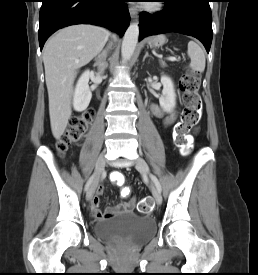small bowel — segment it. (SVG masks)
I'll return each mask as SVG.
<instances>
[{
    "label": "small bowel",
    "instance_id": "obj_1",
    "mask_svg": "<svg viewBox=\"0 0 258 275\" xmlns=\"http://www.w3.org/2000/svg\"><path fill=\"white\" fill-rule=\"evenodd\" d=\"M152 112H153L154 116L162 119L164 127L170 126L176 119L175 114L165 115L164 112L156 105H154L152 107ZM103 191H104L103 185L96 184L94 193L90 199L91 200L90 209H91V212L94 217H96V218H101V217L110 218L113 215H115L116 213H119V212L126 213V212H130L133 209V207L135 205L134 199L127 201V202H122L114 207H110L104 212L101 211L99 209V205H100V195L103 193Z\"/></svg>",
    "mask_w": 258,
    "mask_h": 275
}]
</instances>
